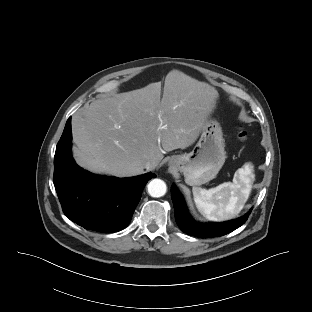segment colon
<instances>
[{"label":"colon","instance_id":"obj_1","mask_svg":"<svg viewBox=\"0 0 312 312\" xmlns=\"http://www.w3.org/2000/svg\"><path fill=\"white\" fill-rule=\"evenodd\" d=\"M237 136L240 141H245L248 137V134L244 129L239 128Z\"/></svg>","mask_w":312,"mask_h":312}]
</instances>
